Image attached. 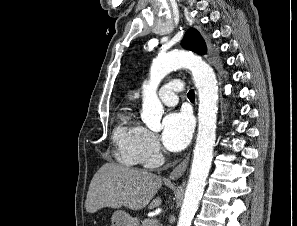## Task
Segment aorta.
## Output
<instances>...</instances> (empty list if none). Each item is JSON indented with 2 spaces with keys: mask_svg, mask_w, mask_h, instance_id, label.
Here are the masks:
<instances>
[{
  "mask_svg": "<svg viewBox=\"0 0 297 226\" xmlns=\"http://www.w3.org/2000/svg\"><path fill=\"white\" fill-rule=\"evenodd\" d=\"M175 68L192 72L199 95V126L191 172L177 226H190L204 193L216 140L218 86L213 69L197 55L172 51L158 56L150 69V80L143 86L141 118L152 131L161 130L163 106L157 96L161 80Z\"/></svg>",
  "mask_w": 297,
  "mask_h": 226,
  "instance_id": "obj_1",
  "label": "aorta"
}]
</instances>
